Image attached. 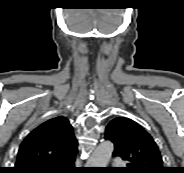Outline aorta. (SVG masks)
<instances>
[{
  "label": "aorta",
  "mask_w": 184,
  "mask_h": 173,
  "mask_svg": "<svg viewBox=\"0 0 184 173\" xmlns=\"http://www.w3.org/2000/svg\"><path fill=\"white\" fill-rule=\"evenodd\" d=\"M114 150L113 143L104 141L94 150L87 161L88 167H107Z\"/></svg>",
  "instance_id": "762f6f07"
}]
</instances>
